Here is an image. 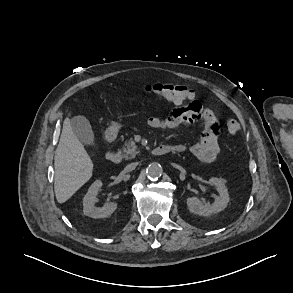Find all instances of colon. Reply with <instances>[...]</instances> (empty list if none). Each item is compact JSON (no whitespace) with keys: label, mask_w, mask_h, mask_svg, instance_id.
I'll use <instances>...</instances> for the list:
<instances>
[{"label":"colon","mask_w":293,"mask_h":293,"mask_svg":"<svg viewBox=\"0 0 293 293\" xmlns=\"http://www.w3.org/2000/svg\"><path fill=\"white\" fill-rule=\"evenodd\" d=\"M143 90L153 94L157 98L170 100L176 104L189 106L193 101V95L189 88L179 84L172 83H146ZM227 129L230 133H236L240 125L234 118H229L226 122Z\"/></svg>","instance_id":"5ec220e1"}]
</instances>
